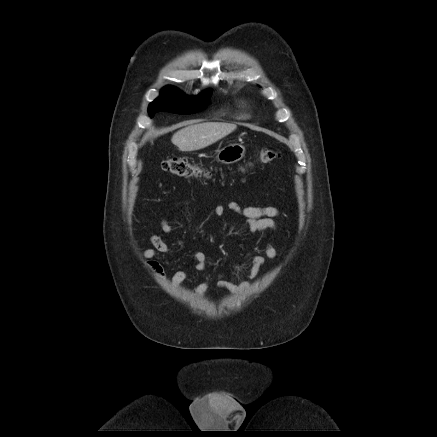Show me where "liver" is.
Masks as SVG:
<instances>
[{"instance_id": "liver-1", "label": "liver", "mask_w": 437, "mask_h": 437, "mask_svg": "<svg viewBox=\"0 0 437 437\" xmlns=\"http://www.w3.org/2000/svg\"><path fill=\"white\" fill-rule=\"evenodd\" d=\"M236 128V124L222 122L191 124L177 131L171 141L180 151H195L217 142Z\"/></svg>"}]
</instances>
